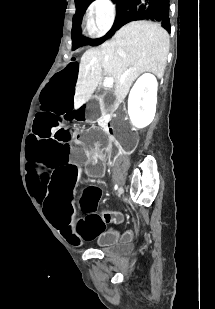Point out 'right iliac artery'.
Returning <instances> with one entry per match:
<instances>
[{
	"label": "right iliac artery",
	"instance_id": "obj_1",
	"mask_svg": "<svg viewBox=\"0 0 215 309\" xmlns=\"http://www.w3.org/2000/svg\"><path fill=\"white\" fill-rule=\"evenodd\" d=\"M114 189H115V190H117V189H118V186H117V184H115V186H114Z\"/></svg>",
	"mask_w": 215,
	"mask_h": 309
}]
</instances>
